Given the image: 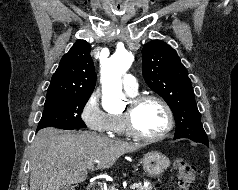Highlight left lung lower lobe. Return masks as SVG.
Instances as JSON below:
<instances>
[{"label": "left lung lower lobe", "mask_w": 238, "mask_h": 190, "mask_svg": "<svg viewBox=\"0 0 238 190\" xmlns=\"http://www.w3.org/2000/svg\"><path fill=\"white\" fill-rule=\"evenodd\" d=\"M179 138H186L184 136H178V137H175L174 139H179ZM194 141V140H193ZM195 142H200V143H203L205 144L206 146H208V141H205V140H198V141H195Z\"/></svg>", "instance_id": "obj_1"}]
</instances>
